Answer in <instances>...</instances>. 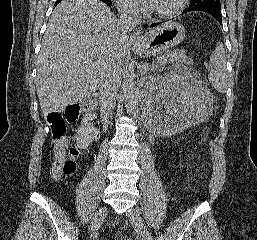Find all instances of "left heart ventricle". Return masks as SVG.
<instances>
[{"label":"left heart ventricle","mask_w":257,"mask_h":240,"mask_svg":"<svg viewBox=\"0 0 257 240\" xmlns=\"http://www.w3.org/2000/svg\"><path fill=\"white\" fill-rule=\"evenodd\" d=\"M175 0H158L156 7L154 8L155 11H162L169 9L174 4Z\"/></svg>","instance_id":"b2bd125f"}]
</instances>
